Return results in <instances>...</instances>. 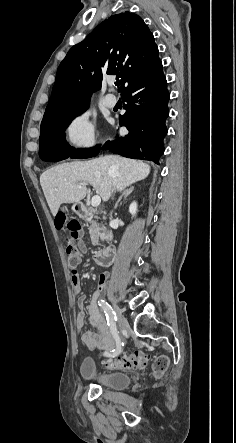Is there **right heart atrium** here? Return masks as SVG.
<instances>
[{"mask_svg":"<svg viewBox=\"0 0 236 443\" xmlns=\"http://www.w3.org/2000/svg\"><path fill=\"white\" fill-rule=\"evenodd\" d=\"M99 141L95 119L88 111H80L72 116L64 128V142L68 149L75 152L92 150Z\"/></svg>","mask_w":236,"mask_h":443,"instance_id":"1","label":"right heart atrium"}]
</instances>
